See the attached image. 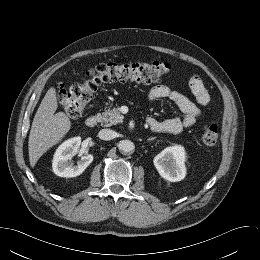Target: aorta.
<instances>
[{"instance_id":"aorta-1","label":"aorta","mask_w":260,"mask_h":260,"mask_svg":"<svg viewBox=\"0 0 260 260\" xmlns=\"http://www.w3.org/2000/svg\"><path fill=\"white\" fill-rule=\"evenodd\" d=\"M118 148L121 152L130 154L134 151L135 145L131 140H122L119 142Z\"/></svg>"}]
</instances>
